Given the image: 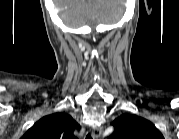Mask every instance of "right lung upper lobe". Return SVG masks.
Returning <instances> with one entry per match:
<instances>
[{
	"mask_svg": "<svg viewBox=\"0 0 179 139\" xmlns=\"http://www.w3.org/2000/svg\"><path fill=\"white\" fill-rule=\"evenodd\" d=\"M77 128L79 125L70 115L54 113L37 121L23 139H74L73 130Z\"/></svg>",
	"mask_w": 179,
	"mask_h": 139,
	"instance_id": "right-lung-upper-lobe-1",
	"label": "right lung upper lobe"
}]
</instances>
